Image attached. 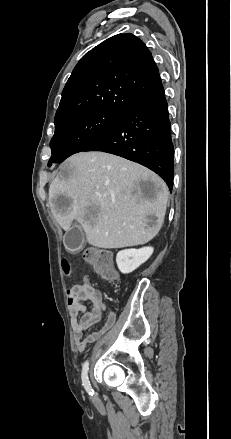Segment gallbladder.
<instances>
[{
  "label": "gallbladder",
  "instance_id": "1",
  "mask_svg": "<svg viewBox=\"0 0 231 439\" xmlns=\"http://www.w3.org/2000/svg\"><path fill=\"white\" fill-rule=\"evenodd\" d=\"M64 243L67 250L71 252L80 251L85 243V234L82 227L77 224L72 225L64 236Z\"/></svg>",
  "mask_w": 231,
  "mask_h": 439
}]
</instances>
